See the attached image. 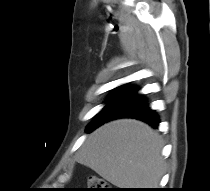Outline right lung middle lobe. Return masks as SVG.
I'll return each instance as SVG.
<instances>
[{
  "instance_id": "dd1d6c3e",
  "label": "right lung middle lobe",
  "mask_w": 210,
  "mask_h": 191,
  "mask_svg": "<svg viewBox=\"0 0 210 191\" xmlns=\"http://www.w3.org/2000/svg\"><path fill=\"white\" fill-rule=\"evenodd\" d=\"M96 123V120H94L88 127H87V131L92 128Z\"/></svg>"
}]
</instances>
